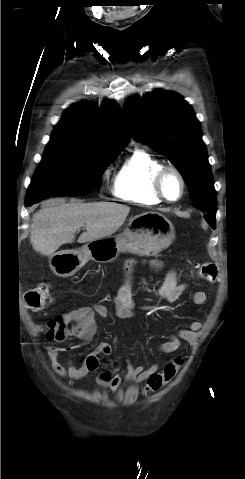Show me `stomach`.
Listing matches in <instances>:
<instances>
[{"label": "stomach", "instance_id": "1", "mask_svg": "<svg viewBox=\"0 0 245 479\" xmlns=\"http://www.w3.org/2000/svg\"><path fill=\"white\" fill-rule=\"evenodd\" d=\"M175 238L171 222L158 212H144L129 220L122 233L88 242L77 250L54 253L49 264L60 277L74 275L89 260L98 263L115 261L120 253L155 256L166 249Z\"/></svg>", "mask_w": 245, "mask_h": 479}]
</instances>
